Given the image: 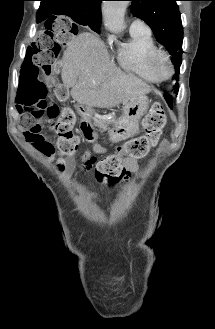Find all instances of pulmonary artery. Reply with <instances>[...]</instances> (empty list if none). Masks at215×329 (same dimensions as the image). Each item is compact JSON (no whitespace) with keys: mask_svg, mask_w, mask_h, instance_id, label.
<instances>
[{"mask_svg":"<svg viewBox=\"0 0 215 329\" xmlns=\"http://www.w3.org/2000/svg\"><path fill=\"white\" fill-rule=\"evenodd\" d=\"M130 32H150V28L139 18L132 20L130 24Z\"/></svg>","mask_w":215,"mask_h":329,"instance_id":"1","label":"pulmonary artery"}]
</instances>
